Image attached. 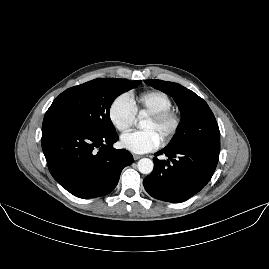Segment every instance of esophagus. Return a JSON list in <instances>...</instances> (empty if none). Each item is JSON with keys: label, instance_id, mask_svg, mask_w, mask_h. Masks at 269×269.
Segmentation results:
<instances>
[{"label": "esophagus", "instance_id": "34e87169", "mask_svg": "<svg viewBox=\"0 0 269 269\" xmlns=\"http://www.w3.org/2000/svg\"><path fill=\"white\" fill-rule=\"evenodd\" d=\"M133 157H134V160H138V159L142 158L141 155H137V154H133Z\"/></svg>", "mask_w": 269, "mask_h": 269}]
</instances>
